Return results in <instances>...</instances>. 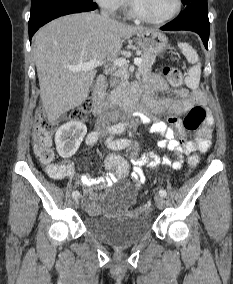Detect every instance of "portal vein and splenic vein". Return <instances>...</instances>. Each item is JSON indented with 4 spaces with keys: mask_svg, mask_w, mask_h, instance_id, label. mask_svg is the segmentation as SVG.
I'll list each match as a JSON object with an SVG mask.
<instances>
[{
    "mask_svg": "<svg viewBox=\"0 0 233 284\" xmlns=\"http://www.w3.org/2000/svg\"><path fill=\"white\" fill-rule=\"evenodd\" d=\"M104 62L98 61L96 59L90 60L86 63H82V64H78V65H70L68 66V69L71 71H92L93 69H95L96 67L102 65ZM128 63V61L126 59L123 58H119L113 61V64L115 66L118 67H123L124 65H126ZM142 63V59L141 58H135L134 59V64L135 65H140Z\"/></svg>",
    "mask_w": 233,
    "mask_h": 284,
    "instance_id": "obj_1",
    "label": "portal vein and splenic vein"
}]
</instances>
